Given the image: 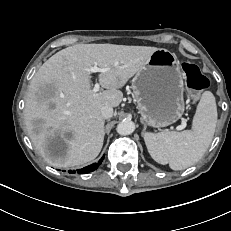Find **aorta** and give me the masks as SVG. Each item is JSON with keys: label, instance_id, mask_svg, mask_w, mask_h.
Here are the masks:
<instances>
[{"label": "aorta", "instance_id": "aorta-1", "mask_svg": "<svg viewBox=\"0 0 231 231\" xmlns=\"http://www.w3.org/2000/svg\"><path fill=\"white\" fill-rule=\"evenodd\" d=\"M135 130V124L129 120H123L117 125L116 131L120 135H130Z\"/></svg>", "mask_w": 231, "mask_h": 231}]
</instances>
